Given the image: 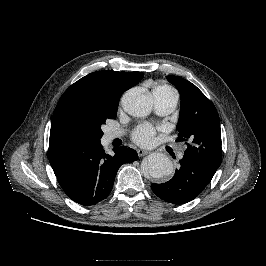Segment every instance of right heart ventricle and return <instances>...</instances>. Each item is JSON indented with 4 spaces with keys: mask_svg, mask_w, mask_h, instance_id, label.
Masks as SVG:
<instances>
[{
    "mask_svg": "<svg viewBox=\"0 0 266 266\" xmlns=\"http://www.w3.org/2000/svg\"><path fill=\"white\" fill-rule=\"evenodd\" d=\"M154 92H175V91L168 85H160L154 89L153 93Z\"/></svg>",
    "mask_w": 266,
    "mask_h": 266,
    "instance_id": "1",
    "label": "right heart ventricle"
}]
</instances>
